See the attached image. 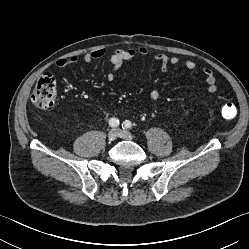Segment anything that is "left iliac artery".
<instances>
[{"mask_svg": "<svg viewBox=\"0 0 249 249\" xmlns=\"http://www.w3.org/2000/svg\"><path fill=\"white\" fill-rule=\"evenodd\" d=\"M131 126H132V123L129 120L124 121L122 124L123 129H129L131 128Z\"/></svg>", "mask_w": 249, "mask_h": 249, "instance_id": "1", "label": "left iliac artery"}]
</instances>
